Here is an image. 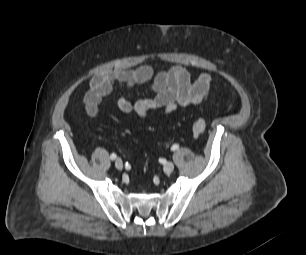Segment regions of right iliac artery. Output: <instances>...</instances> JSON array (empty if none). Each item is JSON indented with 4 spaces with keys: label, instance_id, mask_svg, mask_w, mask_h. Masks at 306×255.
Returning <instances> with one entry per match:
<instances>
[{
    "label": "right iliac artery",
    "instance_id": "right-iliac-artery-1",
    "mask_svg": "<svg viewBox=\"0 0 306 255\" xmlns=\"http://www.w3.org/2000/svg\"><path fill=\"white\" fill-rule=\"evenodd\" d=\"M116 157H117V155L115 153H112L111 156H110L111 160L116 159Z\"/></svg>",
    "mask_w": 306,
    "mask_h": 255
}]
</instances>
